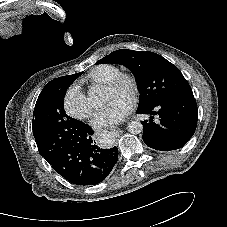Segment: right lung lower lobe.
Returning a JSON list of instances; mask_svg holds the SVG:
<instances>
[{
  "mask_svg": "<svg viewBox=\"0 0 227 227\" xmlns=\"http://www.w3.org/2000/svg\"><path fill=\"white\" fill-rule=\"evenodd\" d=\"M73 138L58 153L47 159L53 169L76 185H94L103 181L118 160V148L98 147L88 124L78 121Z\"/></svg>",
  "mask_w": 227,
  "mask_h": 227,
  "instance_id": "98d812e1",
  "label": "right lung lower lobe"
}]
</instances>
